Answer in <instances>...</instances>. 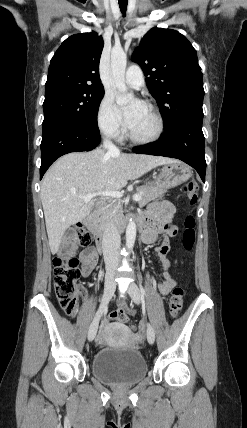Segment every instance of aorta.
Here are the masks:
<instances>
[{
  "instance_id": "obj_1",
  "label": "aorta",
  "mask_w": 247,
  "mask_h": 428,
  "mask_svg": "<svg viewBox=\"0 0 247 428\" xmlns=\"http://www.w3.org/2000/svg\"><path fill=\"white\" fill-rule=\"evenodd\" d=\"M127 65V56L122 48L115 47L111 51V73L114 85L118 91L117 103L120 105L127 104L132 96L127 93L125 84V71ZM136 239V224L130 220L126 228V246L132 249Z\"/></svg>"
}]
</instances>
